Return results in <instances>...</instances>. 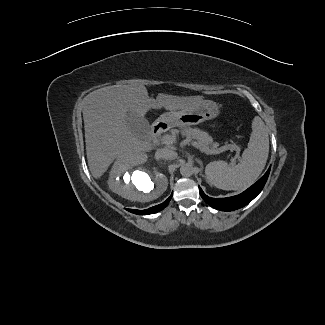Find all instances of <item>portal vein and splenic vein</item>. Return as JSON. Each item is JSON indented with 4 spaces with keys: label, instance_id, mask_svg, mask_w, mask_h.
<instances>
[{
    "label": "portal vein and splenic vein",
    "instance_id": "18ae733b",
    "mask_svg": "<svg viewBox=\"0 0 325 325\" xmlns=\"http://www.w3.org/2000/svg\"><path fill=\"white\" fill-rule=\"evenodd\" d=\"M161 141H162L163 144H173L174 141H175V138L173 136H170V135H164V136H162ZM192 144L196 148H199V146H198V144L196 142H193ZM225 150H230V151H236L237 152V155L234 158L231 159L232 163H235L236 159L239 158L238 154L240 152V148L237 145H232V144L227 145V146H224L221 149H218V150H215V151H208V150L201 149V151L205 152L206 154H218V153H221V152H223Z\"/></svg>",
    "mask_w": 325,
    "mask_h": 325
}]
</instances>
